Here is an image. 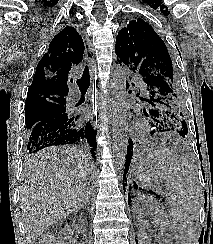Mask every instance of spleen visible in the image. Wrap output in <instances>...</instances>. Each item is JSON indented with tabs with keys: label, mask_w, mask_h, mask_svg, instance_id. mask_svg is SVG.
I'll return each instance as SVG.
<instances>
[{
	"label": "spleen",
	"mask_w": 213,
	"mask_h": 244,
	"mask_svg": "<svg viewBox=\"0 0 213 244\" xmlns=\"http://www.w3.org/2000/svg\"><path fill=\"white\" fill-rule=\"evenodd\" d=\"M151 158L170 192L172 228L183 244H193L202 203L196 174L186 160L170 150L158 149Z\"/></svg>",
	"instance_id": "obj_1"
}]
</instances>
